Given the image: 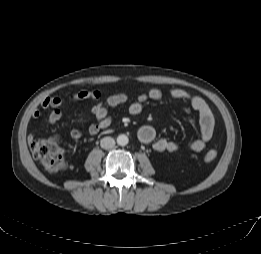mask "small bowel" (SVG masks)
<instances>
[{"label":"small bowel","instance_id":"obj_1","mask_svg":"<svg viewBox=\"0 0 261 254\" xmlns=\"http://www.w3.org/2000/svg\"><path fill=\"white\" fill-rule=\"evenodd\" d=\"M169 97L173 100L186 102L199 116L201 127V137L190 143V149L196 152L202 151L215 138V121L213 114L206 102L198 97L191 95L188 91L180 88L172 89ZM163 98V92L159 88H151L136 97H130L126 93H117L103 99L99 90H82L77 93L60 96H48L41 102L42 109H51L47 117V124L54 125L62 117L61 107L67 102H83L94 100L90 110L95 120L86 130L73 128L71 137L80 139L85 133L96 135L101 130L110 126L112 121L111 110L126 106L130 115L138 116L143 110L144 103L147 101H159ZM41 116L40 109L33 112V117L38 119ZM139 140L144 144H151L157 152H177L179 144L166 138H158L155 129L150 125L142 126L138 131ZM29 142L32 136H29Z\"/></svg>","mask_w":261,"mask_h":254}]
</instances>
